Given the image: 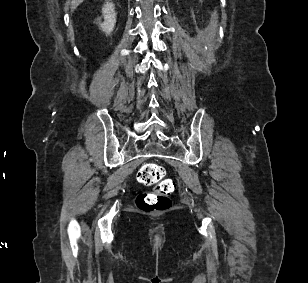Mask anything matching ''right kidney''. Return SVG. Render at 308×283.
Returning <instances> with one entry per match:
<instances>
[{"instance_id":"right-kidney-1","label":"right kidney","mask_w":308,"mask_h":283,"mask_svg":"<svg viewBox=\"0 0 308 283\" xmlns=\"http://www.w3.org/2000/svg\"><path fill=\"white\" fill-rule=\"evenodd\" d=\"M102 14L104 21L100 23V28L106 35H110L116 24V13L114 4L107 1L102 7Z\"/></svg>"}]
</instances>
